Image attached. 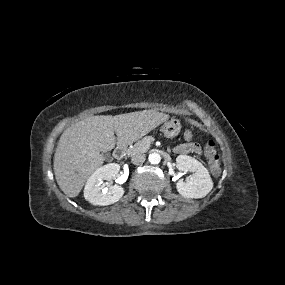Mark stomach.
I'll list each match as a JSON object with an SVG mask.
<instances>
[{
  "label": "stomach",
  "instance_id": "1",
  "mask_svg": "<svg viewBox=\"0 0 285 285\" xmlns=\"http://www.w3.org/2000/svg\"><path fill=\"white\" fill-rule=\"evenodd\" d=\"M181 129V124L178 119L172 118L169 121L165 122L162 126L164 134L168 137H174L179 134Z\"/></svg>",
  "mask_w": 285,
  "mask_h": 285
}]
</instances>
